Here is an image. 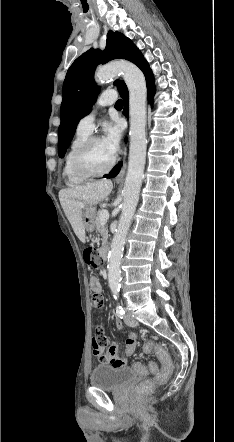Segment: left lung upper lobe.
<instances>
[{
    "mask_svg": "<svg viewBox=\"0 0 234 442\" xmlns=\"http://www.w3.org/2000/svg\"><path fill=\"white\" fill-rule=\"evenodd\" d=\"M126 59L139 68L145 61L134 43L119 32L109 31L104 51L91 48L78 57L67 71L63 84V100L60 110L61 123L58 129V155L63 157L74 136L77 124L92 108L99 93L94 84V71L98 64L113 59ZM118 90L124 81H115Z\"/></svg>",
    "mask_w": 234,
    "mask_h": 442,
    "instance_id": "obj_1",
    "label": "left lung upper lobe"
}]
</instances>
